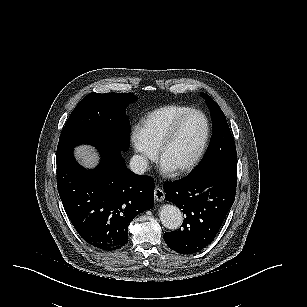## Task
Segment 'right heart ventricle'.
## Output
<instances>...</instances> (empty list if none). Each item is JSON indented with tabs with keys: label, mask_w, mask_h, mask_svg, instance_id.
<instances>
[{
	"label": "right heart ventricle",
	"mask_w": 307,
	"mask_h": 307,
	"mask_svg": "<svg viewBox=\"0 0 307 307\" xmlns=\"http://www.w3.org/2000/svg\"><path fill=\"white\" fill-rule=\"evenodd\" d=\"M181 110L178 106L162 105L152 114L145 128L141 129L136 136L142 137L153 147L164 144L163 136L172 127L173 120L178 117Z\"/></svg>",
	"instance_id": "obj_1"
}]
</instances>
